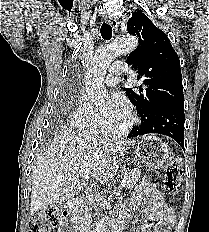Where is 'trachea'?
<instances>
[{
    "label": "trachea",
    "instance_id": "obj_1",
    "mask_svg": "<svg viewBox=\"0 0 209 232\" xmlns=\"http://www.w3.org/2000/svg\"><path fill=\"white\" fill-rule=\"evenodd\" d=\"M101 36L104 40L108 41L112 38V27L110 24L103 23L100 29Z\"/></svg>",
    "mask_w": 209,
    "mask_h": 232
}]
</instances>
